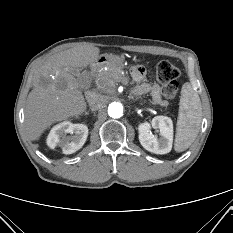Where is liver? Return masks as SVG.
Listing matches in <instances>:
<instances>
[{
    "label": "liver",
    "instance_id": "1",
    "mask_svg": "<svg viewBox=\"0 0 233 233\" xmlns=\"http://www.w3.org/2000/svg\"><path fill=\"white\" fill-rule=\"evenodd\" d=\"M100 49L85 43L50 56L34 74L33 90L25 108V129L38 140L53 123L77 117L86 111V102L74 70L94 63Z\"/></svg>",
    "mask_w": 233,
    "mask_h": 233
}]
</instances>
